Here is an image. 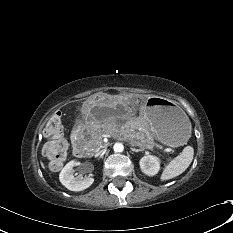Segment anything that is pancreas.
Here are the masks:
<instances>
[{
  "label": "pancreas",
  "mask_w": 233,
  "mask_h": 233,
  "mask_svg": "<svg viewBox=\"0 0 233 233\" xmlns=\"http://www.w3.org/2000/svg\"><path fill=\"white\" fill-rule=\"evenodd\" d=\"M87 129L91 135L87 144L89 149L93 152H97L101 147H103L102 135L108 133L144 149H153L156 145L154 142V136L150 132L147 122L139 118L132 121L130 129L125 132L123 136L120 131L116 129L114 122L91 123L87 126Z\"/></svg>",
  "instance_id": "1"
}]
</instances>
